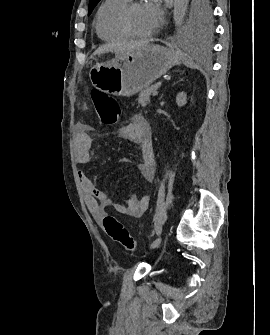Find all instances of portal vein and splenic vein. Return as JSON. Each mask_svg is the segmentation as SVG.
Segmentation results:
<instances>
[{
    "instance_id": "portal-vein-and-splenic-vein-1",
    "label": "portal vein and splenic vein",
    "mask_w": 270,
    "mask_h": 335,
    "mask_svg": "<svg viewBox=\"0 0 270 335\" xmlns=\"http://www.w3.org/2000/svg\"><path fill=\"white\" fill-rule=\"evenodd\" d=\"M153 96H155V97L159 96V90H155V93H152V97Z\"/></svg>"
}]
</instances>
